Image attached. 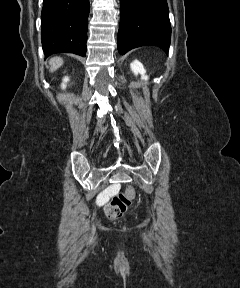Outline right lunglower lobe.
<instances>
[{
    "mask_svg": "<svg viewBox=\"0 0 240 288\" xmlns=\"http://www.w3.org/2000/svg\"><path fill=\"white\" fill-rule=\"evenodd\" d=\"M89 0H43L41 37L45 56L86 55Z\"/></svg>",
    "mask_w": 240,
    "mask_h": 288,
    "instance_id": "obj_1",
    "label": "right lung lower lobe"
}]
</instances>
